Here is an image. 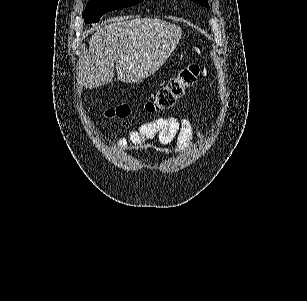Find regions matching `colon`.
Returning <instances> with one entry per match:
<instances>
[{
    "label": "colon",
    "mask_w": 307,
    "mask_h": 301,
    "mask_svg": "<svg viewBox=\"0 0 307 301\" xmlns=\"http://www.w3.org/2000/svg\"><path fill=\"white\" fill-rule=\"evenodd\" d=\"M200 68L197 64H190L182 68L174 77L170 78L166 84L158 89L155 96L147 100L143 107L148 112H160L171 109L180 100L186 91L192 88L197 82ZM131 107L127 103L107 111L109 117H126L130 114Z\"/></svg>",
    "instance_id": "1"
}]
</instances>
